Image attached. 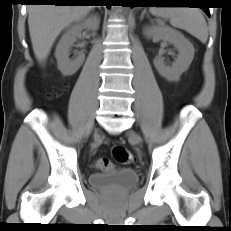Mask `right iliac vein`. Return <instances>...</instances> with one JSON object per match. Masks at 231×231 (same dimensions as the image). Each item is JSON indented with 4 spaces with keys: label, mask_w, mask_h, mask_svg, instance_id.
Instances as JSON below:
<instances>
[{
    "label": "right iliac vein",
    "mask_w": 231,
    "mask_h": 231,
    "mask_svg": "<svg viewBox=\"0 0 231 231\" xmlns=\"http://www.w3.org/2000/svg\"><path fill=\"white\" fill-rule=\"evenodd\" d=\"M97 137H98V134H97V135H95V139H97Z\"/></svg>",
    "instance_id": "obj_1"
}]
</instances>
